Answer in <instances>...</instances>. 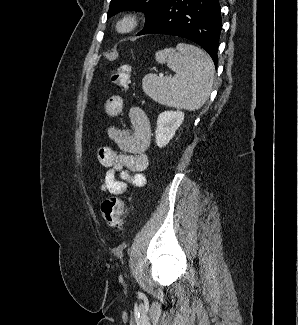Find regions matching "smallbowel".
Here are the masks:
<instances>
[{
	"label": "small bowel",
	"mask_w": 298,
	"mask_h": 325,
	"mask_svg": "<svg viewBox=\"0 0 298 325\" xmlns=\"http://www.w3.org/2000/svg\"><path fill=\"white\" fill-rule=\"evenodd\" d=\"M124 100L119 95L111 96L105 103V113L114 118L122 113ZM132 129L117 125L107 129L108 138L114 142L118 151L111 147H102L98 151V160L107 168L101 178V190L113 195H121L129 186L142 187L146 184L144 171L149 161L146 151L151 142V126L146 113L139 107L129 111Z\"/></svg>",
	"instance_id": "c3829d8e"
}]
</instances>
